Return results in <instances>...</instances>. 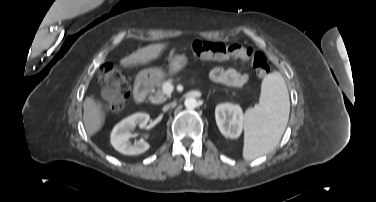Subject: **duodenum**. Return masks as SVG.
I'll list each match as a JSON object with an SVG mask.
<instances>
[{
  "instance_id": "duodenum-1",
  "label": "duodenum",
  "mask_w": 376,
  "mask_h": 202,
  "mask_svg": "<svg viewBox=\"0 0 376 202\" xmlns=\"http://www.w3.org/2000/svg\"><path fill=\"white\" fill-rule=\"evenodd\" d=\"M148 93V81L146 78H140L135 85L133 98L136 103H142Z\"/></svg>"
}]
</instances>
